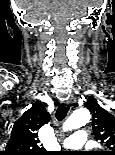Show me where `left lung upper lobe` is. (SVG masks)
Here are the masks:
<instances>
[{"label": "left lung upper lobe", "instance_id": "left-lung-upper-lobe-1", "mask_svg": "<svg viewBox=\"0 0 115 155\" xmlns=\"http://www.w3.org/2000/svg\"><path fill=\"white\" fill-rule=\"evenodd\" d=\"M85 106L92 112L93 132L106 147L97 155H115V116L103 109L93 97H88Z\"/></svg>", "mask_w": 115, "mask_h": 155}]
</instances>
